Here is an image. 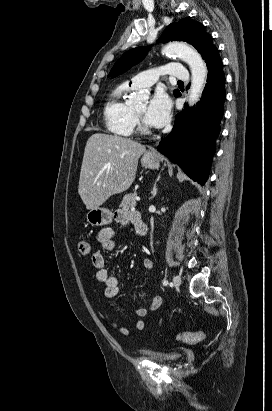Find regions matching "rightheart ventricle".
<instances>
[{
  "instance_id": "obj_1",
  "label": "right heart ventricle",
  "mask_w": 272,
  "mask_h": 411,
  "mask_svg": "<svg viewBox=\"0 0 272 411\" xmlns=\"http://www.w3.org/2000/svg\"><path fill=\"white\" fill-rule=\"evenodd\" d=\"M134 89L128 83H122L108 97L104 107V118L110 133L129 137L134 130L132 107L125 100V95Z\"/></svg>"
}]
</instances>
